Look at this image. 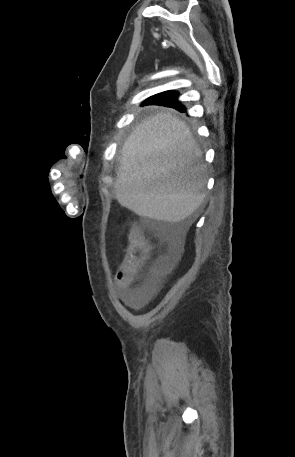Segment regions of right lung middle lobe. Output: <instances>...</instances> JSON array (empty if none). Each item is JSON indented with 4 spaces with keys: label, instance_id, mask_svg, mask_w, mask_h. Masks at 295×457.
Returning a JSON list of instances; mask_svg holds the SVG:
<instances>
[{
    "label": "right lung middle lobe",
    "instance_id": "obj_1",
    "mask_svg": "<svg viewBox=\"0 0 295 457\" xmlns=\"http://www.w3.org/2000/svg\"><path fill=\"white\" fill-rule=\"evenodd\" d=\"M178 93L177 92H174V91H167V92H163V93H160L158 98L161 102H163L164 100L168 99V98H173L175 96H177Z\"/></svg>",
    "mask_w": 295,
    "mask_h": 457
}]
</instances>
